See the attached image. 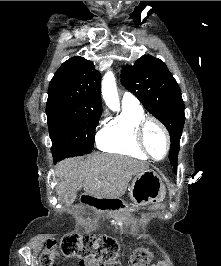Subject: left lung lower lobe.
<instances>
[{
  "instance_id": "1",
  "label": "left lung lower lobe",
  "mask_w": 221,
  "mask_h": 266,
  "mask_svg": "<svg viewBox=\"0 0 221 266\" xmlns=\"http://www.w3.org/2000/svg\"><path fill=\"white\" fill-rule=\"evenodd\" d=\"M174 172H175V173L177 172V166L174 167Z\"/></svg>"
}]
</instances>
